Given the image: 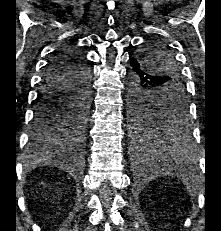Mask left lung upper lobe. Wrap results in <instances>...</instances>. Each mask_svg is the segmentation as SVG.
<instances>
[{
	"label": "left lung upper lobe",
	"instance_id": "obj_1",
	"mask_svg": "<svg viewBox=\"0 0 221 231\" xmlns=\"http://www.w3.org/2000/svg\"><path fill=\"white\" fill-rule=\"evenodd\" d=\"M138 59L151 74L161 78L159 92L147 95L148 106L136 115L130 114L135 139L142 141L158 128L186 123L187 99L174 55L164 42L152 39Z\"/></svg>",
	"mask_w": 221,
	"mask_h": 231
}]
</instances>
